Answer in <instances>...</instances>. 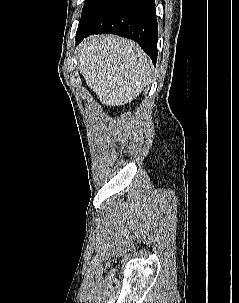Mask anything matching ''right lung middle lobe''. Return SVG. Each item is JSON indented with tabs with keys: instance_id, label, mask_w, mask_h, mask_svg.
<instances>
[{
	"instance_id": "right-lung-middle-lobe-1",
	"label": "right lung middle lobe",
	"mask_w": 239,
	"mask_h": 303,
	"mask_svg": "<svg viewBox=\"0 0 239 303\" xmlns=\"http://www.w3.org/2000/svg\"><path fill=\"white\" fill-rule=\"evenodd\" d=\"M106 1L107 0H85L77 32L81 31L89 24L96 12Z\"/></svg>"
}]
</instances>
